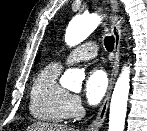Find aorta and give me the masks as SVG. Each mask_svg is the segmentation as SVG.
Masks as SVG:
<instances>
[{"instance_id": "aorta-1", "label": "aorta", "mask_w": 147, "mask_h": 131, "mask_svg": "<svg viewBox=\"0 0 147 131\" xmlns=\"http://www.w3.org/2000/svg\"><path fill=\"white\" fill-rule=\"evenodd\" d=\"M102 18L97 14L75 16L68 25L65 41L69 46L83 42L100 24ZM130 68L125 66L117 79L111 98L108 131H124L127 102L130 89ZM85 74L80 69H67L61 77L63 87L79 91Z\"/></svg>"}]
</instances>
